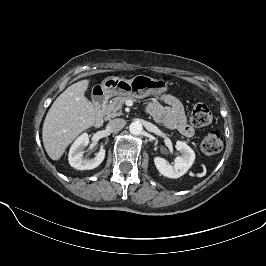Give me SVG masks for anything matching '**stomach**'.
I'll return each mask as SVG.
<instances>
[{
    "label": "stomach",
    "instance_id": "1",
    "mask_svg": "<svg viewBox=\"0 0 266 266\" xmlns=\"http://www.w3.org/2000/svg\"><path fill=\"white\" fill-rule=\"evenodd\" d=\"M169 83L163 79H154L146 75H137L131 80L119 77H107L101 84L105 96L126 95L135 98H145L160 95L168 91Z\"/></svg>",
    "mask_w": 266,
    "mask_h": 266
}]
</instances>
